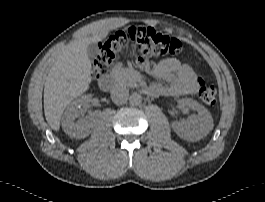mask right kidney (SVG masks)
I'll use <instances>...</instances> for the list:
<instances>
[{
	"mask_svg": "<svg viewBox=\"0 0 265 202\" xmlns=\"http://www.w3.org/2000/svg\"><path fill=\"white\" fill-rule=\"evenodd\" d=\"M92 97V94L83 95L72 101L66 108L62 117V128L71 138H86L96 126L100 116L97 111L75 122L81 107L87 106L92 101Z\"/></svg>",
	"mask_w": 265,
	"mask_h": 202,
	"instance_id": "1",
	"label": "right kidney"
}]
</instances>
